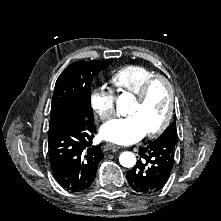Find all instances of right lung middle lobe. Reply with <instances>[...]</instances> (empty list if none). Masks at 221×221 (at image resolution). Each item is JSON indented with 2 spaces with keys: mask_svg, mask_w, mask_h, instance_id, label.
<instances>
[{
  "mask_svg": "<svg viewBox=\"0 0 221 221\" xmlns=\"http://www.w3.org/2000/svg\"><path fill=\"white\" fill-rule=\"evenodd\" d=\"M105 61H77L69 65L58 77L52 100L51 119L66 110H74L94 119L90 106L93 77L111 64Z\"/></svg>",
  "mask_w": 221,
  "mask_h": 221,
  "instance_id": "obj_1",
  "label": "right lung middle lobe"
}]
</instances>
